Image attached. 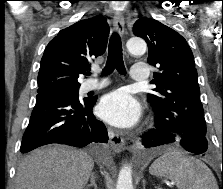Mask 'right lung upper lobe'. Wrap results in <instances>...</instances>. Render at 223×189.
<instances>
[{
	"instance_id": "obj_1",
	"label": "right lung upper lobe",
	"mask_w": 223,
	"mask_h": 189,
	"mask_svg": "<svg viewBox=\"0 0 223 189\" xmlns=\"http://www.w3.org/2000/svg\"><path fill=\"white\" fill-rule=\"evenodd\" d=\"M109 26L102 16L78 21L61 30L45 48L38 73V94L60 88H79L78 77L88 73L94 58L107 46Z\"/></svg>"
}]
</instances>
